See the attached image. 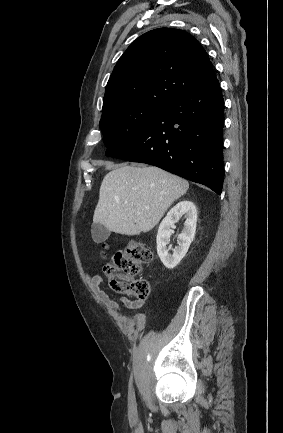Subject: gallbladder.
Instances as JSON below:
<instances>
[{
    "label": "gallbladder",
    "mask_w": 283,
    "mask_h": 433,
    "mask_svg": "<svg viewBox=\"0 0 283 433\" xmlns=\"http://www.w3.org/2000/svg\"><path fill=\"white\" fill-rule=\"evenodd\" d=\"M91 235L95 243H103V241H106L110 237V231L105 229L104 225H100V223H93Z\"/></svg>",
    "instance_id": "obj_1"
}]
</instances>
